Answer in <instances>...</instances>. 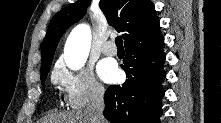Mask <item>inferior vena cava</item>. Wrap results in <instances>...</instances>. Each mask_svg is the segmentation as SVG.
Here are the masks:
<instances>
[{
  "mask_svg": "<svg viewBox=\"0 0 221 123\" xmlns=\"http://www.w3.org/2000/svg\"><path fill=\"white\" fill-rule=\"evenodd\" d=\"M104 107V89L101 87H95L92 91L90 103L86 108V113L88 114L91 123H104Z\"/></svg>",
  "mask_w": 221,
  "mask_h": 123,
  "instance_id": "inferior-vena-cava-1",
  "label": "inferior vena cava"
}]
</instances>
